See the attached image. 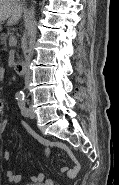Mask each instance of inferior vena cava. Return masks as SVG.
Segmentation results:
<instances>
[{
	"label": "inferior vena cava",
	"instance_id": "inferior-vena-cava-1",
	"mask_svg": "<svg viewBox=\"0 0 119 185\" xmlns=\"http://www.w3.org/2000/svg\"><path fill=\"white\" fill-rule=\"evenodd\" d=\"M24 52H25V60L27 62V65H29L30 60H31V53L28 48L27 42L25 43V46H24ZM31 77H32L31 71L29 70V68H27L26 72H25V88L26 89L29 88V83H30Z\"/></svg>",
	"mask_w": 119,
	"mask_h": 185
}]
</instances>
